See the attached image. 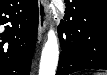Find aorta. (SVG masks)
Listing matches in <instances>:
<instances>
[{
  "label": "aorta",
  "mask_w": 107,
  "mask_h": 75,
  "mask_svg": "<svg viewBox=\"0 0 107 75\" xmlns=\"http://www.w3.org/2000/svg\"><path fill=\"white\" fill-rule=\"evenodd\" d=\"M58 57L59 47L57 37L54 30H50L47 42L42 50L39 75H55Z\"/></svg>",
  "instance_id": "1"
}]
</instances>
